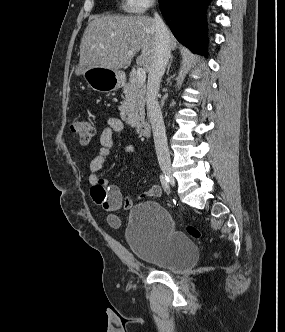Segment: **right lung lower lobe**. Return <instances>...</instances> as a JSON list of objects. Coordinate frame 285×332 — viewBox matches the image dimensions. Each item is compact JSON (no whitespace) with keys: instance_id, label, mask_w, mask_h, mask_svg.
I'll return each mask as SVG.
<instances>
[{"instance_id":"1","label":"right lung lower lobe","mask_w":285,"mask_h":332,"mask_svg":"<svg viewBox=\"0 0 285 332\" xmlns=\"http://www.w3.org/2000/svg\"><path fill=\"white\" fill-rule=\"evenodd\" d=\"M208 0H159L160 10L177 40L193 52L206 48Z\"/></svg>"}]
</instances>
